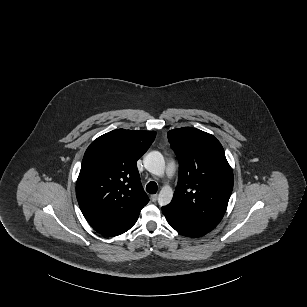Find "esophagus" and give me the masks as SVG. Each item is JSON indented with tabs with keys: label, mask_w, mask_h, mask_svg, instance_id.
Here are the masks:
<instances>
[{
	"label": "esophagus",
	"mask_w": 307,
	"mask_h": 307,
	"mask_svg": "<svg viewBox=\"0 0 307 307\" xmlns=\"http://www.w3.org/2000/svg\"><path fill=\"white\" fill-rule=\"evenodd\" d=\"M150 198H151L152 202H156L157 201V194H152L150 196Z\"/></svg>",
	"instance_id": "esophagus-1"
}]
</instances>
